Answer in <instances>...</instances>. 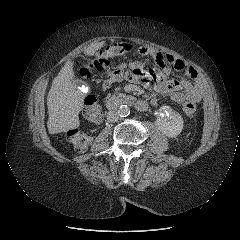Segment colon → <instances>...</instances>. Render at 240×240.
<instances>
[{
  "mask_svg": "<svg viewBox=\"0 0 240 240\" xmlns=\"http://www.w3.org/2000/svg\"><path fill=\"white\" fill-rule=\"evenodd\" d=\"M132 49L133 46L128 42L121 41L113 43L101 49L96 56L84 62L80 68V74L85 78H89L94 72L103 71L109 65L111 58L127 54L131 52ZM182 108L188 117H192L195 113L196 106L194 102L186 100L182 103ZM83 113L87 119L94 123H98L101 120L102 111L95 97H86ZM67 138L77 151H85L91 142L90 134L79 128L68 130Z\"/></svg>",
  "mask_w": 240,
  "mask_h": 240,
  "instance_id": "colon-1",
  "label": "colon"
}]
</instances>
